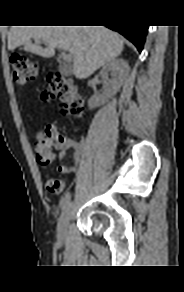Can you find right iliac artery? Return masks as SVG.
<instances>
[{"label": "right iliac artery", "mask_w": 184, "mask_h": 292, "mask_svg": "<svg viewBox=\"0 0 184 292\" xmlns=\"http://www.w3.org/2000/svg\"><path fill=\"white\" fill-rule=\"evenodd\" d=\"M70 198H71V195L69 192H67L63 197H62V200H61V203H62V208L65 209L66 206L69 204L70 202Z\"/></svg>", "instance_id": "right-iliac-artery-1"}]
</instances>
